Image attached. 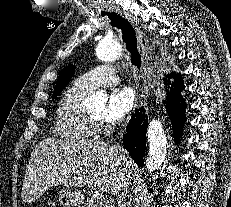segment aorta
Segmentation results:
<instances>
[{
    "instance_id": "1",
    "label": "aorta",
    "mask_w": 231,
    "mask_h": 207,
    "mask_svg": "<svg viewBox=\"0 0 231 207\" xmlns=\"http://www.w3.org/2000/svg\"><path fill=\"white\" fill-rule=\"evenodd\" d=\"M122 45L115 39H102L96 47V56L102 62H110L122 56ZM107 97L102 92L93 93L85 104L93 107L95 104L106 103ZM150 150L146 159V170L148 173L159 169L165 159L167 152V140L163 126L159 120L153 119L149 122L147 133Z\"/></svg>"
}]
</instances>
